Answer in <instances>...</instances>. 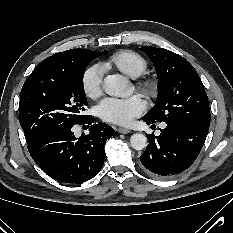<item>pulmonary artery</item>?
I'll return each mask as SVG.
<instances>
[{
  "instance_id": "1",
  "label": "pulmonary artery",
  "mask_w": 233,
  "mask_h": 233,
  "mask_svg": "<svg viewBox=\"0 0 233 233\" xmlns=\"http://www.w3.org/2000/svg\"><path fill=\"white\" fill-rule=\"evenodd\" d=\"M161 127H162V128L166 127V124L163 123V124L161 125Z\"/></svg>"
}]
</instances>
